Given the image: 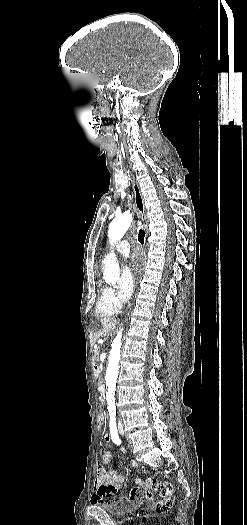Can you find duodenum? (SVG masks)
Wrapping results in <instances>:
<instances>
[{
	"instance_id": "410a0bca",
	"label": "duodenum",
	"mask_w": 247,
	"mask_h": 525,
	"mask_svg": "<svg viewBox=\"0 0 247 525\" xmlns=\"http://www.w3.org/2000/svg\"><path fill=\"white\" fill-rule=\"evenodd\" d=\"M93 372H94V375H95V376H99V373H100V367H99V364H98L97 362H95V363L93 364ZM99 391H100L101 398H102L103 400H105V398H106V391H105V389H104L103 387H101V388L99 389Z\"/></svg>"
}]
</instances>
